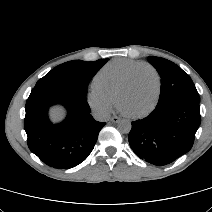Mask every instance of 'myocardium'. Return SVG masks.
I'll return each instance as SVG.
<instances>
[{
    "label": "myocardium",
    "instance_id": "1",
    "mask_svg": "<svg viewBox=\"0 0 212 212\" xmlns=\"http://www.w3.org/2000/svg\"><path fill=\"white\" fill-rule=\"evenodd\" d=\"M149 69L153 72V74L155 75L156 78V83H157V88H156V95L155 98L152 102V104L149 106V108H147L145 111L141 112V113H136V114H129L127 113L126 115L134 118V119H139V118H143L147 115H149L157 106L159 99H160V95H161V90H162V78L160 73L158 72V70L151 64L148 63H142L138 66H136L135 68H133L129 74L127 75L126 79L124 80V82L122 83L121 87L119 88V91L117 93V104L118 106H120V102H121V98L123 96V94L125 93V91L128 89V87L130 86L134 75L140 70V69Z\"/></svg>",
    "mask_w": 212,
    "mask_h": 212
}]
</instances>
